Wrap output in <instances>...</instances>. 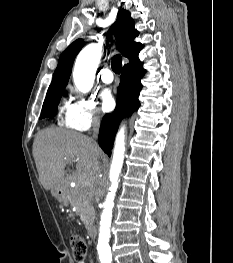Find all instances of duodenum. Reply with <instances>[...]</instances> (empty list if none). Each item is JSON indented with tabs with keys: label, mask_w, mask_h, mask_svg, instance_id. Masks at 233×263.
<instances>
[{
	"label": "duodenum",
	"mask_w": 233,
	"mask_h": 263,
	"mask_svg": "<svg viewBox=\"0 0 233 263\" xmlns=\"http://www.w3.org/2000/svg\"><path fill=\"white\" fill-rule=\"evenodd\" d=\"M89 236L91 239H95L97 237V230L93 224L89 226Z\"/></svg>",
	"instance_id": "1"
}]
</instances>
